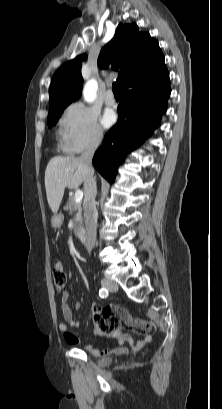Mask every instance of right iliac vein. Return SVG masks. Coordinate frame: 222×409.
I'll list each match as a JSON object with an SVG mask.
<instances>
[{
  "instance_id": "1",
  "label": "right iliac vein",
  "mask_w": 222,
  "mask_h": 409,
  "mask_svg": "<svg viewBox=\"0 0 222 409\" xmlns=\"http://www.w3.org/2000/svg\"><path fill=\"white\" fill-rule=\"evenodd\" d=\"M101 284L104 288H106L109 291H117L118 290V285L112 280L109 279H102Z\"/></svg>"
}]
</instances>
